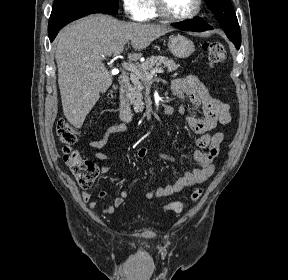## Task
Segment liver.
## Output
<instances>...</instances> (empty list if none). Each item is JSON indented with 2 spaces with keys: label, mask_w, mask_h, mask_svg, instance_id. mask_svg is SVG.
I'll return each mask as SVG.
<instances>
[{
  "label": "liver",
  "mask_w": 288,
  "mask_h": 280,
  "mask_svg": "<svg viewBox=\"0 0 288 280\" xmlns=\"http://www.w3.org/2000/svg\"><path fill=\"white\" fill-rule=\"evenodd\" d=\"M170 31L167 26L121 22L104 14L90 15L65 27L59 33L55 59L67 120L75 128H81L100 94L112 84L103 56L114 54L128 41L135 50L145 49ZM140 57V53L128 54L133 61Z\"/></svg>",
  "instance_id": "6515ba94"
}]
</instances>
